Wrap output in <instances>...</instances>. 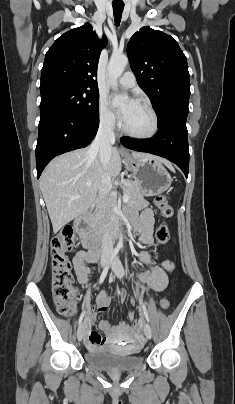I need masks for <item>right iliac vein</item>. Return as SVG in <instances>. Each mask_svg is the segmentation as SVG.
<instances>
[{"instance_id": "obj_1", "label": "right iliac vein", "mask_w": 235, "mask_h": 404, "mask_svg": "<svg viewBox=\"0 0 235 404\" xmlns=\"http://www.w3.org/2000/svg\"><path fill=\"white\" fill-rule=\"evenodd\" d=\"M107 260H108V257H105V258L103 259L101 265H102V266H105V264L107 263ZM83 336H84V324H81V325L79 326V328H78V331H77V338H78V340L81 341L82 338H83Z\"/></svg>"}]
</instances>
